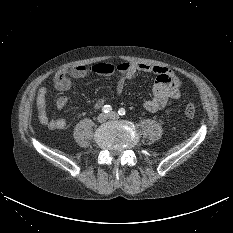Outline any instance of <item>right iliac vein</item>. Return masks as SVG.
Returning <instances> with one entry per match:
<instances>
[{"label":"right iliac vein","instance_id":"1","mask_svg":"<svg viewBox=\"0 0 233 233\" xmlns=\"http://www.w3.org/2000/svg\"><path fill=\"white\" fill-rule=\"evenodd\" d=\"M97 120H98V122H100V123H104V122L107 120V115L104 114V113H102V114H100V115L98 116Z\"/></svg>","mask_w":233,"mask_h":233}]
</instances>
